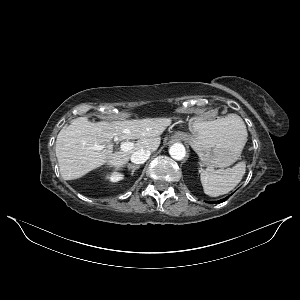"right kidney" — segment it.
<instances>
[{"label":"right kidney","mask_w":300,"mask_h":300,"mask_svg":"<svg viewBox=\"0 0 300 300\" xmlns=\"http://www.w3.org/2000/svg\"><path fill=\"white\" fill-rule=\"evenodd\" d=\"M110 181L112 182H117L121 179H123V175L118 173V172H113L110 177H109Z\"/></svg>","instance_id":"1"}]
</instances>
